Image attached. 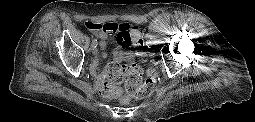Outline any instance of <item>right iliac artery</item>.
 <instances>
[{"label":"right iliac artery","instance_id":"1","mask_svg":"<svg viewBox=\"0 0 255 122\" xmlns=\"http://www.w3.org/2000/svg\"><path fill=\"white\" fill-rule=\"evenodd\" d=\"M92 43L94 44V43H97V39H93L92 40Z\"/></svg>","mask_w":255,"mask_h":122}]
</instances>
